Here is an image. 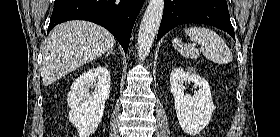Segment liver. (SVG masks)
Instances as JSON below:
<instances>
[{
  "mask_svg": "<svg viewBox=\"0 0 280 137\" xmlns=\"http://www.w3.org/2000/svg\"><path fill=\"white\" fill-rule=\"evenodd\" d=\"M114 44V36L97 24L68 21L57 25L50 32L43 49V84H52L112 49Z\"/></svg>",
  "mask_w": 280,
  "mask_h": 137,
  "instance_id": "obj_1",
  "label": "liver"
}]
</instances>
